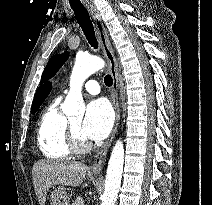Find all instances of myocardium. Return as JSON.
<instances>
[{
    "label": "myocardium",
    "instance_id": "1",
    "mask_svg": "<svg viewBox=\"0 0 212 205\" xmlns=\"http://www.w3.org/2000/svg\"><path fill=\"white\" fill-rule=\"evenodd\" d=\"M68 145L74 153H84L89 150V143L74 129L71 123L68 124Z\"/></svg>",
    "mask_w": 212,
    "mask_h": 205
}]
</instances>
